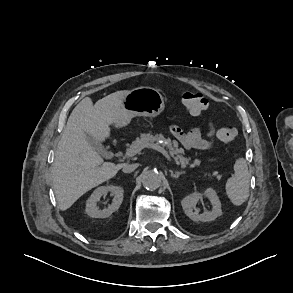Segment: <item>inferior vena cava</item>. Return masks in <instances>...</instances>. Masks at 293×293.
<instances>
[{
	"instance_id": "1",
	"label": "inferior vena cava",
	"mask_w": 293,
	"mask_h": 293,
	"mask_svg": "<svg viewBox=\"0 0 293 293\" xmlns=\"http://www.w3.org/2000/svg\"><path fill=\"white\" fill-rule=\"evenodd\" d=\"M138 167V164L135 163V164H124L123 165V168H122V171L124 173H131L133 172L136 168Z\"/></svg>"
}]
</instances>
